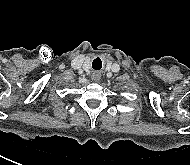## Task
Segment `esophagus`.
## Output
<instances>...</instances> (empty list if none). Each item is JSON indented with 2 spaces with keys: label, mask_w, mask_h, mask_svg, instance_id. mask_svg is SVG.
<instances>
[{
  "label": "esophagus",
  "mask_w": 190,
  "mask_h": 165,
  "mask_svg": "<svg viewBox=\"0 0 190 165\" xmlns=\"http://www.w3.org/2000/svg\"><path fill=\"white\" fill-rule=\"evenodd\" d=\"M99 79H100V75L99 74H94L93 75V80L99 81Z\"/></svg>",
  "instance_id": "1"
}]
</instances>
